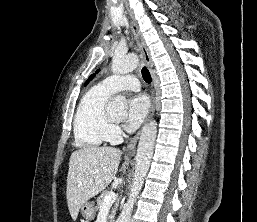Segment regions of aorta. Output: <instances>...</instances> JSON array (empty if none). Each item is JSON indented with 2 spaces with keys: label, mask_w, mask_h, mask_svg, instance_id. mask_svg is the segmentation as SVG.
<instances>
[{
  "label": "aorta",
  "mask_w": 257,
  "mask_h": 222,
  "mask_svg": "<svg viewBox=\"0 0 257 222\" xmlns=\"http://www.w3.org/2000/svg\"><path fill=\"white\" fill-rule=\"evenodd\" d=\"M138 65V58L135 54H122L117 51L112 59V71L118 74H127L133 71ZM110 112L125 113L127 103L125 97L115 96L107 107ZM157 134V123L151 121L142 129L138 149L136 153L135 175L130 190L129 198L123 205L122 212L117 219V222H130L131 212L134 207L136 198L142 189L144 179L148 173L151 158L153 155L154 144Z\"/></svg>",
  "instance_id": "762f6f07"
}]
</instances>
